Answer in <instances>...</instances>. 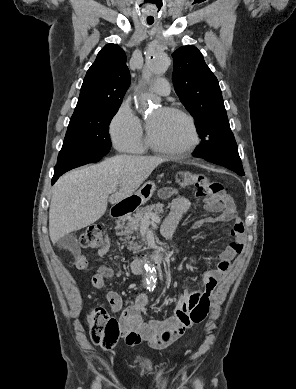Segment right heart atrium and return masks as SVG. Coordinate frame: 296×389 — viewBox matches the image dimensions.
I'll list each match as a JSON object with an SVG mask.
<instances>
[{"label": "right heart atrium", "mask_w": 296, "mask_h": 389, "mask_svg": "<svg viewBox=\"0 0 296 389\" xmlns=\"http://www.w3.org/2000/svg\"><path fill=\"white\" fill-rule=\"evenodd\" d=\"M111 140L115 148L124 153H137L143 149V126L132 109L122 104L109 125Z\"/></svg>", "instance_id": "1"}]
</instances>
